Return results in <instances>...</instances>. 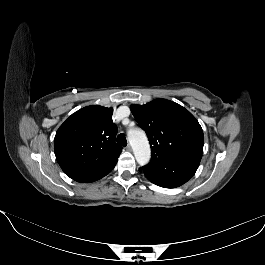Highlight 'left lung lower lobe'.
<instances>
[{
    "instance_id": "obj_1",
    "label": "left lung lower lobe",
    "mask_w": 265,
    "mask_h": 265,
    "mask_svg": "<svg viewBox=\"0 0 265 265\" xmlns=\"http://www.w3.org/2000/svg\"><path fill=\"white\" fill-rule=\"evenodd\" d=\"M202 156L195 155L143 167L147 179L164 188H176L186 183L196 172Z\"/></svg>"
}]
</instances>
